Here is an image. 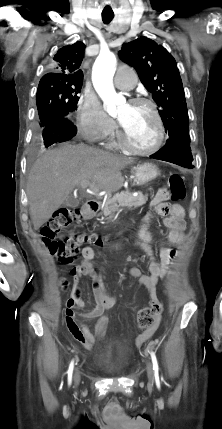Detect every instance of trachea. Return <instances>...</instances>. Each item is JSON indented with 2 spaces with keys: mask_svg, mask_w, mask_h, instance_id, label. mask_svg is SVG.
I'll return each instance as SVG.
<instances>
[{
  "mask_svg": "<svg viewBox=\"0 0 222 429\" xmlns=\"http://www.w3.org/2000/svg\"><path fill=\"white\" fill-rule=\"evenodd\" d=\"M114 18L113 12H102V20L105 24H109Z\"/></svg>",
  "mask_w": 222,
  "mask_h": 429,
  "instance_id": "1",
  "label": "trachea"
}]
</instances>
